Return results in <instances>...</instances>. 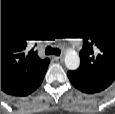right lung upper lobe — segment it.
Wrapping results in <instances>:
<instances>
[{"mask_svg": "<svg viewBox=\"0 0 115 114\" xmlns=\"http://www.w3.org/2000/svg\"><path fill=\"white\" fill-rule=\"evenodd\" d=\"M31 39L22 28L1 25V90L7 94L28 95L45 76L50 60L27 50Z\"/></svg>", "mask_w": 115, "mask_h": 114, "instance_id": "1", "label": "right lung upper lobe"}]
</instances>
